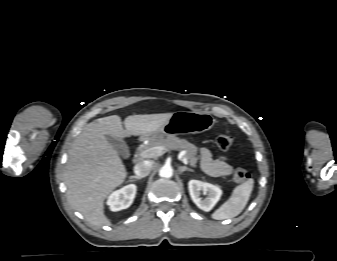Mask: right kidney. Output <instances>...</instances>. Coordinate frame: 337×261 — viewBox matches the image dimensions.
<instances>
[{
  "label": "right kidney",
  "mask_w": 337,
  "mask_h": 261,
  "mask_svg": "<svg viewBox=\"0 0 337 261\" xmlns=\"http://www.w3.org/2000/svg\"><path fill=\"white\" fill-rule=\"evenodd\" d=\"M137 187L135 184H129L123 188L114 191L107 200V204L112 211H120L128 208L136 195Z\"/></svg>",
  "instance_id": "1"
}]
</instances>
